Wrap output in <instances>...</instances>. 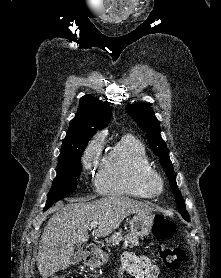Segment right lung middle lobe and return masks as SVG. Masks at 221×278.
<instances>
[{"label": "right lung middle lobe", "instance_id": "dd1d6c3e", "mask_svg": "<svg viewBox=\"0 0 221 278\" xmlns=\"http://www.w3.org/2000/svg\"><path fill=\"white\" fill-rule=\"evenodd\" d=\"M86 145L87 143L60 152L57 164V176L47 196L44 210L51 207L54 202L68 196L77 188V179L81 174L80 157Z\"/></svg>", "mask_w": 221, "mask_h": 278}]
</instances>
